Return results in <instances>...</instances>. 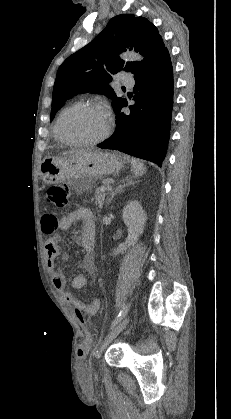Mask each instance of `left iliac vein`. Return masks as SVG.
<instances>
[{"label":"left iliac vein","mask_w":231,"mask_h":419,"mask_svg":"<svg viewBox=\"0 0 231 419\" xmlns=\"http://www.w3.org/2000/svg\"><path fill=\"white\" fill-rule=\"evenodd\" d=\"M130 322V317H125L117 326H115L109 334L105 337L100 352L98 353L97 357L100 358L102 352L106 349V347L114 340V338L122 332Z\"/></svg>","instance_id":"obj_1"}]
</instances>
